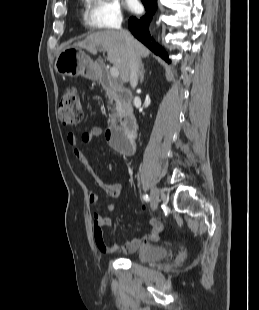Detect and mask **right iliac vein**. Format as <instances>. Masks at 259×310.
<instances>
[{"label":"right iliac vein","mask_w":259,"mask_h":310,"mask_svg":"<svg viewBox=\"0 0 259 310\" xmlns=\"http://www.w3.org/2000/svg\"><path fill=\"white\" fill-rule=\"evenodd\" d=\"M151 207H152V210L155 211L157 208H158V204H159V201H160V197L165 200L166 199V196L165 194L163 193L162 190H160L159 188L157 187H152L151 189Z\"/></svg>","instance_id":"right-iliac-vein-1"}]
</instances>
